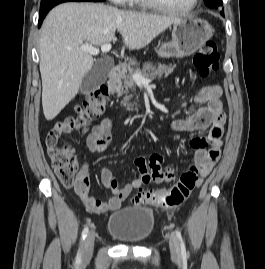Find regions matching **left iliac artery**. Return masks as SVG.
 Instances as JSON below:
<instances>
[{
  "instance_id": "left-iliac-artery-1",
  "label": "left iliac artery",
  "mask_w": 265,
  "mask_h": 269,
  "mask_svg": "<svg viewBox=\"0 0 265 269\" xmlns=\"http://www.w3.org/2000/svg\"><path fill=\"white\" fill-rule=\"evenodd\" d=\"M175 234H176V237L178 238L179 243H180L182 258H183L184 260H186V259H187L186 248H185V243H184V241H183L181 232L178 231V230H176V231H175Z\"/></svg>"
}]
</instances>
